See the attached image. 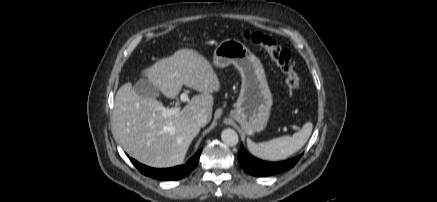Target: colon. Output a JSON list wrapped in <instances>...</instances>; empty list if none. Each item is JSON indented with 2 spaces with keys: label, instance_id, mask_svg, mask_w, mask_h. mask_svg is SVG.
<instances>
[{
  "label": "colon",
  "instance_id": "colon-1",
  "mask_svg": "<svg viewBox=\"0 0 437 202\" xmlns=\"http://www.w3.org/2000/svg\"><path fill=\"white\" fill-rule=\"evenodd\" d=\"M245 40L260 46L276 63L285 75V84L290 96H295L299 91L300 80L295 70V63L290 52L281 47L271 36L259 31H246Z\"/></svg>",
  "mask_w": 437,
  "mask_h": 202
}]
</instances>
